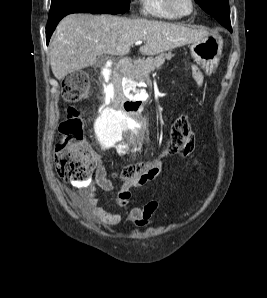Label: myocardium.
<instances>
[{
  "mask_svg": "<svg viewBox=\"0 0 267 298\" xmlns=\"http://www.w3.org/2000/svg\"><path fill=\"white\" fill-rule=\"evenodd\" d=\"M191 4V9L188 13H180L174 6L173 0H164L166 8L177 17H187L191 15L195 10L194 0H189Z\"/></svg>",
  "mask_w": 267,
  "mask_h": 298,
  "instance_id": "f54148a6",
  "label": "myocardium"
}]
</instances>
